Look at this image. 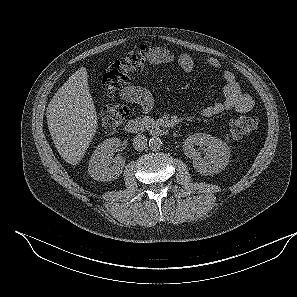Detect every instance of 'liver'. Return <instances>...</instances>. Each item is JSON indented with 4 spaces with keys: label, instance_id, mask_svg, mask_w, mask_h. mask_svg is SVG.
Returning <instances> with one entry per match:
<instances>
[{
    "label": "liver",
    "instance_id": "6515ba94",
    "mask_svg": "<svg viewBox=\"0 0 297 297\" xmlns=\"http://www.w3.org/2000/svg\"><path fill=\"white\" fill-rule=\"evenodd\" d=\"M48 129L60 156L76 165L83 158L97 129V113L85 67L78 69L48 104Z\"/></svg>",
    "mask_w": 297,
    "mask_h": 297
}]
</instances>
